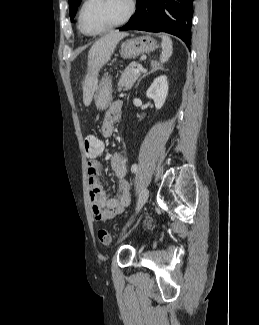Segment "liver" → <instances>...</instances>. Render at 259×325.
<instances>
[{
	"mask_svg": "<svg viewBox=\"0 0 259 325\" xmlns=\"http://www.w3.org/2000/svg\"><path fill=\"white\" fill-rule=\"evenodd\" d=\"M128 36L126 32L112 31L97 40L88 52V65L91 76L85 81L83 86V102L89 106L94 92L97 88L96 75L100 68L108 62L114 52L118 42Z\"/></svg>",
	"mask_w": 259,
	"mask_h": 325,
	"instance_id": "1",
	"label": "liver"
}]
</instances>
